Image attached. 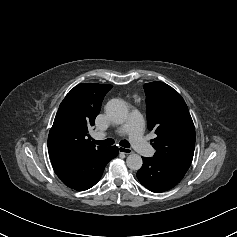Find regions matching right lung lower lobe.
I'll use <instances>...</instances> for the list:
<instances>
[{
  "instance_id": "1",
  "label": "right lung lower lobe",
  "mask_w": 237,
  "mask_h": 237,
  "mask_svg": "<svg viewBox=\"0 0 237 237\" xmlns=\"http://www.w3.org/2000/svg\"><path fill=\"white\" fill-rule=\"evenodd\" d=\"M53 169L68 187L84 191L101 178L107 163L118 155L116 146L106 147L84 156H75L56 148H48Z\"/></svg>"
}]
</instances>
